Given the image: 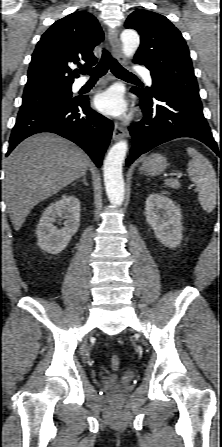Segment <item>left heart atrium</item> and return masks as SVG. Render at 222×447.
Segmentation results:
<instances>
[{
  "label": "left heart atrium",
  "instance_id": "1",
  "mask_svg": "<svg viewBox=\"0 0 222 447\" xmlns=\"http://www.w3.org/2000/svg\"><path fill=\"white\" fill-rule=\"evenodd\" d=\"M94 104L101 113L113 117H122L128 110L121 90L115 87L98 94L94 99Z\"/></svg>",
  "mask_w": 222,
  "mask_h": 447
}]
</instances>
